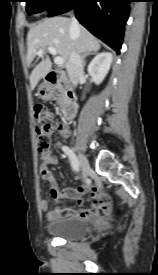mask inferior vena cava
Returning a JSON list of instances; mask_svg holds the SVG:
<instances>
[{"label": "inferior vena cava", "instance_id": "obj_1", "mask_svg": "<svg viewBox=\"0 0 158 275\" xmlns=\"http://www.w3.org/2000/svg\"><path fill=\"white\" fill-rule=\"evenodd\" d=\"M71 27L72 28H78L79 23L75 19V17H72L71 20ZM67 72L69 76V80L72 83L73 86H77L78 81L80 77H82L84 73V65H83V59L79 52L72 51L69 57V61L67 64Z\"/></svg>", "mask_w": 158, "mask_h": 275}]
</instances>
